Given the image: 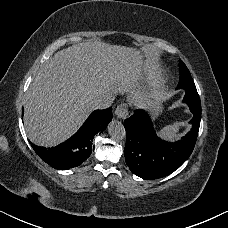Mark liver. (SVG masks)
Returning <instances> with one entry per match:
<instances>
[{
  "mask_svg": "<svg viewBox=\"0 0 228 228\" xmlns=\"http://www.w3.org/2000/svg\"><path fill=\"white\" fill-rule=\"evenodd\" d=\"M86 41L58 51L40 68L25 93L24 126L38 146L53 147L71 137L92 112L89 95L130 93L136 103L164 100L157 89V52ZM143 57L146 59L143 60ZM144 71L150 93L140 91Z\"/></svg>",
  "mask_w": 228,
  "mask_h": 228,
  "instance_id": "1",
  "label": "liver"
}]
</instances>
